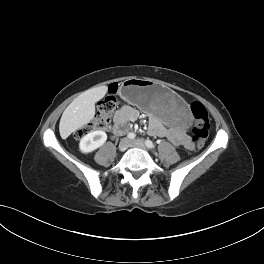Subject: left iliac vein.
Returning <instances> with one entry per match:
<instances>
[{
	"label": "left iliac vein",
	"mask_w": 264,
	"mask_h": 264,
	"mask_svg": "<svg viewBox=\"0 0 264 264\" xmlns=\"http://www.w3.org/2000/svg\"><path fill=\"white\" fill-rule=\"evenodd\" d=\"M129 145L131 147H137V148L145 149L144 142L142 140H140V139H136V140L130 141Z\"/></svg>",
	"instance_id": "1"
}]
</instances>
